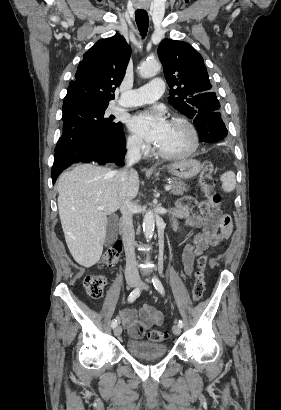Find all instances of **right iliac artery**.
<instances>
[{"label": "right iliac artery", "instance_id": "right-iliac-artery-1", "mask_svg": "<svg viewBox=\"0 0 281 410\" xmlns=\"http://www.w3.org/2000/svg\"><path fill=\"white\" fill-rule=\"evenodd\" d=\"M140 294V287L135 288L128 297V302H133ZM118 324L117 319H113L111 322L112 328H115Z\"/></svg>", "mask_w": 281, "mask_h": 410}]
</instances>
